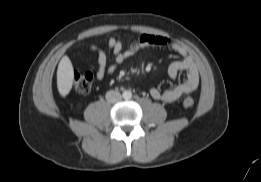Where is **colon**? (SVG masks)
Returning a JSON list of instances; mask_svg holds the SVG:
<instances>
[{"instance_id":"5ec220e1","label":"colon","mask_w":261,"mask_h":182,"mask_svg":"<svg viewBox=\"0 0 261 182\" xmlns=\"http://www.w3.org/2000/svg\"><path fill=\"white\" fill-rule=\"evenodd\" d=\"M74 88L77 92L82 94H88L92 90V74L91 73H78L74 76ZM183 104L186 107L194 105V99L187 96L183 100Z\"/></svg>"}]
</instances>
